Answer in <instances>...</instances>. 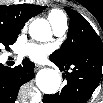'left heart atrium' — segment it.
Returning a JSON list of instances; mask_svg holds the SVG:
<instances>
[{"mask_svg": "<svg viewBox=\"0 0 103 103\" xmlns=\"http://www.w3.org/2000/svg\"><path fill=\"white\" fill-rule=\"evenodd\" d=\"M50 51V48L40 44H28L23 48V53L33 61L40 62L44 60Z\"/></svg>", "mask_w": 103, "mask_h": 103, "instance_id": "obj_1", "label": "left heart atrium"}]
</instances>
